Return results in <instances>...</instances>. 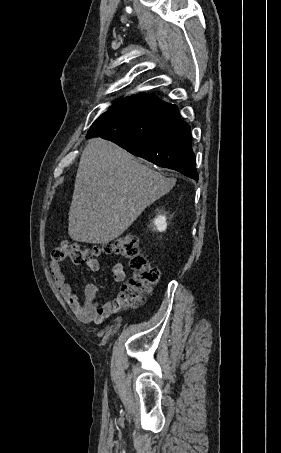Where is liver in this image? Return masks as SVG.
Wrapping results in <instances>:
<instances>
[{"label": "liver", "instance_id": "1", "mask_svg": "<svg viewBox=\"0 0 281 453\" xmlns=\"http://www.w3.org/2000/svg\"><path fill=\"white\" fill-rule=\"evenodd\" d=\"M114 142L91 138L82 150L69 210L68 233L79 243H110L151 202L169 192L167 178Z\"/></svg>", "mask_w": 281, "mask_h": 453}]
</instances>
